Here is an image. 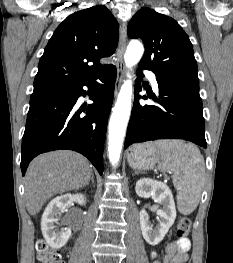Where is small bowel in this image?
Returning <instances> with one entry per match:
<instances>
[{
    "mask_svg": "<svg viewBox=\"0 0 233 263\" xmlns=\"http://www.w3.org/2000/svg\"><path fill=\"white\" fill-rule=\"evenodd\" d=\"M191 241L189 238L179 237L166 246V254L161 260L156 259L157 253L150 252L152 263H185L189 258Z\"/></svg>",
    "mask_w": 233,
    "mask_h": 263,
    "instance_id": "c3829d8e",
    "label": "small bowel"
}]
</instances>
